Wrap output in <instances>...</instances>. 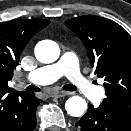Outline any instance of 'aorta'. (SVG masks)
Wrapping results in <instances>:
<instances>
[{"label":"aorta","mask_w":131,"mask_h":131,"mask_svg":"<svg viewBox=\"0 0 131 131\" xmlns=\"http://www.w3.org/2000/svg\"><path fill=\"white\" fill-rule=\"evenodd\" d=\"M59 55V46L54 41L43 40L35 47V56L42 63H52ZM65 109L70 116L80 117L87 109V103L79 96H72L66 101Z\"/></svg>","instance_id":"1"}]
</instances>
